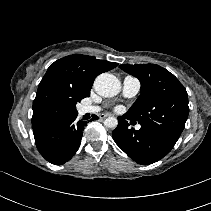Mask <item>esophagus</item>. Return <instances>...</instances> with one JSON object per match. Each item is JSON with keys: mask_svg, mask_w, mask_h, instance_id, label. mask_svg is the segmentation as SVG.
Returning <instances> with one entry per match:
<instances>
[{"mask_svg": "<svg viewBox=\"0 0 211 211\" xmlns=\"http://www.w3.org/2000/svg\"><path fill=\"white\" fill-rule=\"evenodd\" d=\"M108 116H110V114L104 113V114H101V115H100V118H106V117H108Z\"/></svg>", "mask_w": 211, "mask_h": 211, "instance_id": "obj_1", "label": "esophagus"}]
</instances>
